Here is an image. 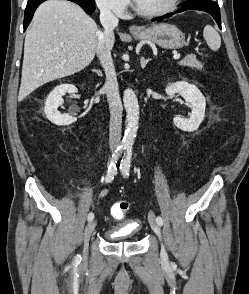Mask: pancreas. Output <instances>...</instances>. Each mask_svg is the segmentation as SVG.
Returning <instances> with one entry per match:
<instances>
[{"instance_id": "cf45deb5", "label": "pancreas", "mask_w": 249, "mask_h": 294, "mask_svg": "<svg viewBox=\"0 0 249 294\" xmlns=\"http://www.w3.org/2000/svg\"><path fill=\"white\" fill-rule=\"evenodd\" d=\"M179 64L196 70L202 69V64L196 59L195 55H188Z\"/></svg>"}]
</instances>
